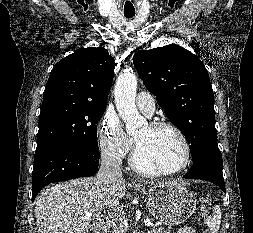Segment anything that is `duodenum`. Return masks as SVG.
Returning a JSON list of instances; mask_svg holds the SVG:
<instances>
[{
    "instance_id": "obj_1",
    "label": "duodenum",
    "mask_w": 253,
    "mask_h": 233,
    "mask_svg": "<svg viewBox=\"0 0 253 233\" xmlns=\"http://www.w3.org/2000/svg\"><path fill=\"white\" fill-rule=\"evenodd\" d=\"M112 219L110 215H103L100 218V222L98 226L96 227L94 233H105L106 230L108 229Z\"/></svg>"
}]
</instances>
